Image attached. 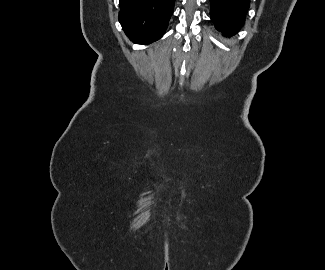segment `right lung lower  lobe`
I'll return each mask as SVG.
<instances>
[{
	"instance_id": "obj_1",
	"label": "right lung lower lobe",
	"mask_w": 325,
	"mask_h": 270,
	"mask_svg": "<svg viewBox=\"0 0 325 270\" xmlns=\"http://www.w3.org/2000/svg\"><path fill=\"white\" fill-rule=\"evenodd\" d=\"M175 0H119V22L135 43H152L163 36Z\"/></svg>"
}]
</instances>
